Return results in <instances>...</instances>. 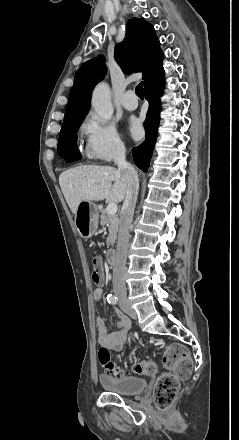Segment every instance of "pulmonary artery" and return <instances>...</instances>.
I'll return each mask as SVG.
<instances>
[{"label":"pulmonary artery","instance_id":"pulmonary-artery-1","mask_svg":"<svg viewBox=\"0 0 239 440\" xmlns=\"http://www.w3.org/2000/svg\"><path fill=\"white\" fill-rule=\"evenodd\" d=\"M134 95H135V92L133 90L127 91L123 95V97L120 101V104L127 110H135L138 107V103H132L127 100L128 97L134 96Z\"/></svg>","mask_w":239,"mask_h":440}]
</instances>
